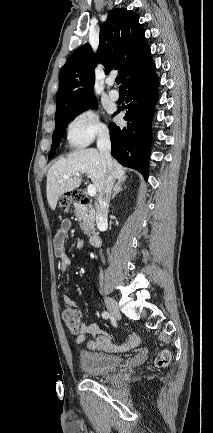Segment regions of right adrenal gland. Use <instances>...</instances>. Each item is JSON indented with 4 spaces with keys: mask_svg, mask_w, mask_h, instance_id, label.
<instances>
[{
    "mask_svg": "<svg viewBox=\"0 0 213 433\" xmlns=\"http://www.w3.org/2000/svg\"><path fill=\"white\" fill-rule=\"evenodd\" d=\"M124 183V181H122V180H119L116 184H115V186H114V189H113V192H112V195H111V200L112 199H114L115 198V196L119 193V192H121L122 190H123V188H122V184Z\"/></svg>",
    "mask_w": 213,
    "mask_h": 433,
    "instance_id": "2a0ac1e0",
    "label": "right adrenal gland"
}]
</instances>
